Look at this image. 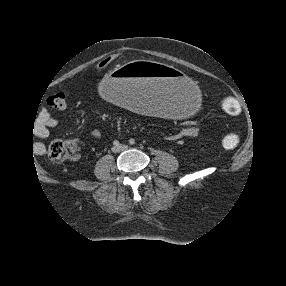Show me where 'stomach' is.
Wrapping results in <instances>:
<instances>
[{
	"instance_id": "obj_1",
	"label": "stomach",
	"mask_w": 286,
	"mask_h": 286,
	"mask_svg": "<svg viewBox=\"0 0 286 286\" xmlns=\"http://www.w3.org/2000/svg\"><path fill=\"white\" fill-rule=\"evenodd\" d=\"M100 92L109 103L153 115L168 122L194 117L203 102L198 80L187 72L160 63L134 60L112 71Z\"/></svg>"
}]
</instances>
